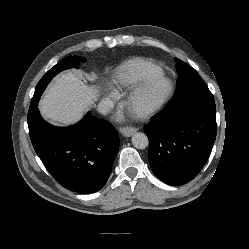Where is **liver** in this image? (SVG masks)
<instances>
[{
  "mask_svg": "<svg viewBox=\"0 0 249 249\" xmlns=\"http://www.w3.org/2000/svg\"><path fill=\"white\" fill-rule=\"evenodd\" d=\"M100 89V86L86 84L71 72L60 74L40 100V112L52 123L74 124L98 100Z\"/></svg>",
  "mask_w": 249,
  "mask_h": 249,
  "instance_id": "1",
  "label": "liver"
}]
</instances>
